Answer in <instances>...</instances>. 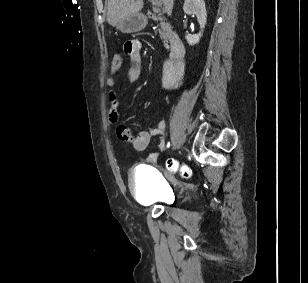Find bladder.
Here are the masks:
<instances>
[{
    "label": "bladder",
    "mask_w": 308,
    "mask_h": 283,
    "mask_svg": "<svg viewBox=\"0 0 308 283\" xmlns=\"http://www.w3.org/2000/svg\"><path fill=\"white\" fill-rule=\"evenodd\" d=\"M129 187L139 202L153 205L166 200L170 185L156 169L140 166L130 171Z\"/></svg>",
    "instance_id": "31cf9c89"
}]
</instances>
